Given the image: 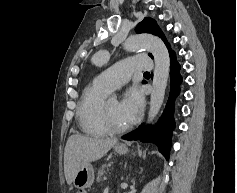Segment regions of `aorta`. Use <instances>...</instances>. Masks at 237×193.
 Here are the masks:
<instances>
[{"mask_svg": "<svg viewBox=\"0 0 237 193\" xmlns=\"http://www.w3.org/2000/svg\"><path fill=\"white\" fill-rule=\"evenodd\" d=\"M147 49L154 58L155 68L148 112V123H151L159 113L164 101L165 90L169 78L170 57L164 42L151 34H136L130 36L125 42V49L137 51Z\"/></svg>", "mask_w": 237, "mask_h": 193, "instance_id": "1", "label": "aorta"}]
</instances>
